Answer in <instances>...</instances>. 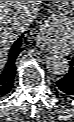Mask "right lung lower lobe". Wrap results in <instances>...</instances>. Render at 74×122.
<instances>
[{
  "mask_svg": "<svg viewBox=\"0 0 74 122\" xmlns=\"http://www.w3.org/2000/svg\"><path fill=\"white\" fill-rule=\"evenodd\" d=\"M23 36L24 35L20 36V38H18V40L12 45L4 68H0V97L8 94L13 87L14 77L16 74L15 61L18 55L23 51Z\"/></svg>",
  "mask_w": 74,
  "mask_h": 122,
  "instance_id": "1",
  "label": "right lung lower lobe"
}]
</instances>
